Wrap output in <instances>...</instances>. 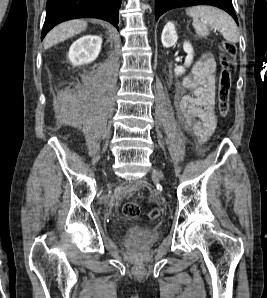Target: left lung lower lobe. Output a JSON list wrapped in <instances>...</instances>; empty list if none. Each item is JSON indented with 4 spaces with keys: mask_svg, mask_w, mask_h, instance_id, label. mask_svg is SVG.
I'll return each instance as SVG.
<instances>
[{
    "mask_svg": "<svg viewBox=\"0 0 267 298\" xmlns=\"http://www.w3.org/2000/svg\"><path fill=\"white\" fill-rule=\"evenodd\" d=\"M212 5L228 12L237 22L231 0H155V18L156 20L166 11L193 5Z\"/></svg>",
    "mask_w": 267,
    "mask_h": 298,
    "instance_id": "obj_1",
    "label": "left lung lower lobe"
}]
</instances>
